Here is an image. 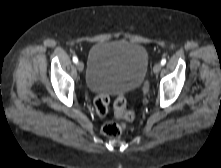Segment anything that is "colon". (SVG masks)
<instances>
[{"label": "colon", "instance_id": "obj_1", "mask_svg": "<svg viewBox=\"0 0 221 168\" xmlns=\"http://www.w3.org/2000/svg\"><path fill=\"white\" fill-rule=\"evenodd\" d=\"M109 102L110 99L107 95L96 97L94 101L96 112L101 116L105 115ZM114 114L118 122H107L102 127L103 134L110 138L118 137L124 130L126 123L134 118V112L127 110L126 99L122 95H119L114 102Z\"/></svg>", "mask_w": 221, "mask_h": 168}]
</instances>
